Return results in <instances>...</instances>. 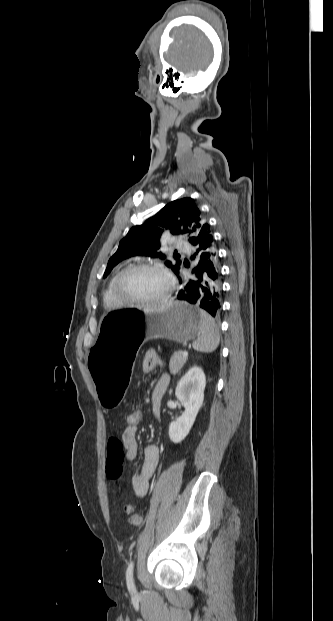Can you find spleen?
Here are the masks:
<instances>
[{"label":"spleen","instance_id":"obj_1","mask_svg":"<svg viewBox=\"0 0 333 621\" xmlns=\"http://www.w3.org/2000/svg\"><path fill=\"white\" fill-rule=\"evenodd\" d=\"M200 313V335L193 342L194 350L203 353L215 351L220 343L219 329L215 320L204 310Z\"/></svg>","mask_w":333,"mask_h":621}]
</instances>
